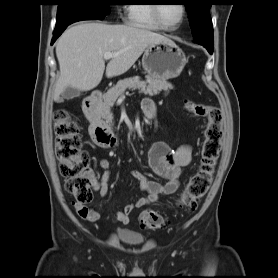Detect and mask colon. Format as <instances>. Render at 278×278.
Here are the masks:
<instances>
[{"instance_id": "obj_1", "label": "colon", "mask_w": 278, "mask_h": 278, "mask_svg": "<svg viewBox=\"0 0 278 278\" xmlns=\"http://www.w3.org/2000/svg\"><path fill=\"white\" fill-rule=\"evenodd\" d=\"M186 108L195 116L206 119L201 158L197 172L190 178L180 203L195 210L208 191L220 154L223 115L220 108L207 104L186 101ZM55 150L59 170L65 179V188L75 198V203L85 205L92 200V187L96 180L90 166V156L82 149L79 126L72 114L59 109L54 116ZM140 224L147 229H162L167 221L157 212L141 213Z\"/></svg>"}]
</instances>
